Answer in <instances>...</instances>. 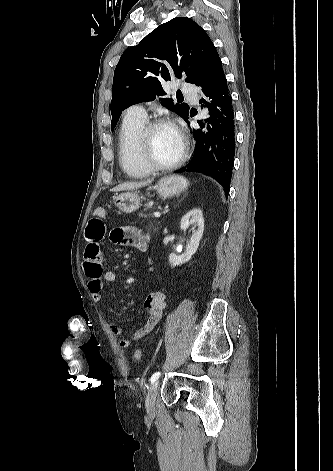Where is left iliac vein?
Listing matches in <instances>:
<instances>
[{"label": "left iliac vein", "instance_id": "obj_1", "mask_svg": "<svg viewBox=\"0 0 333 471\" xmlns=\"http://www.w3.org/2000/svg\"><path fill=\"white\" fill-rule=\"evenodd\" d=\"M158 391V381L151 383L145 401L146 410L149 414L155 412L156 396Z\"/></svg>", "mask_w": 333, "mask_h": 471}]
</instances>
